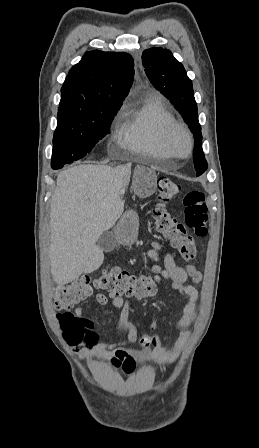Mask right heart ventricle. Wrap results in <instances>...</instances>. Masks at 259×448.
Returning <instances> with one entry per match:
<instances>
[{"mask_svg":"<svg viewBox=\"0 0 259 448\" xmlns=\"http://www.w3.org/2000/svg\"><path fill=\"white\" fill-rule=\"evenodd\" d=\"M150 100L142 97L125 102L117 116L118 134L125 148L135 150L127 154L131 163H145L143 154L148 150H162L160 133L164 125L174 120L163 99L156 94ZM144 151V153H139Z\"/></svg>","mask_w":259,"mask_h":448,"instance_id":"obj_1","label":"right heart ventricle"}]
</instances>
